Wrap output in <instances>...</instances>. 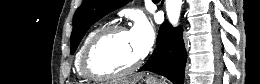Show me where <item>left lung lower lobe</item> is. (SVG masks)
<instances>
[{
  "label": "left lung lower lobe",
  "instance_id": "1",
  "mask_svg": "<svg viewBox=\"0 0 260 84\" xmlns=\"http://www.w3.org/2000/svg\"><path fill=\"white\" fill-rule=\"evenodd\" d=\"M186 51L180 28L164 22L158 31L156 48L139 71H151L165 76L176 84H183Z\"/></svg>",
  "mask_w": 260,
  "mask_h": 84
}]
</instances>
